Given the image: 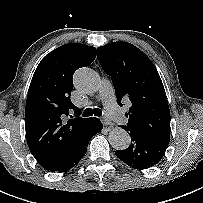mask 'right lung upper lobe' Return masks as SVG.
I'll return each mask as SVG.
<instances>
[{
	"label": "right lung upper lobe",
	"instance_id": "right-lung-upper-lobe-1",
	"mask_svg": "<svg viewBox=\"0 0 203 203\" xmlns=\"http://www.w3.org/2000/svg\"><path fill=\"white\" fill-rule=\"evenodd\" d=\"M95 57L92 46L65 44L47 54L35 70L26 100L25 129L32 155L47 170L63 166L96 119L81 118L70 100L74 72Z\"/></svg>",
	"mask_w": 203,
	"mask_h": 203
}]
</instances>
